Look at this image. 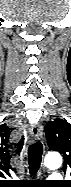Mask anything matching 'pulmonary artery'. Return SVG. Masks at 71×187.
Returning <instances> with one entry per match:
<instances>
[{"label": "pulmonary artery", "mask_w": 71, "mask_h": 187, "mask_svg": "<svg viewBox=\"0 0 71 187\" xmlns=\"http://www.w3.org/2000/svg\"><path fill=\"white\" fill-rule=\"evenodd\" d=\"M60 175L58 173H53L49 176V179H59Z\"/></svg>", "instance_id": "obj_1"}]
</instances>
